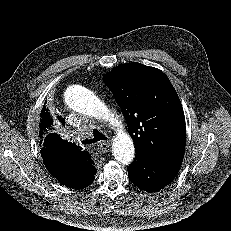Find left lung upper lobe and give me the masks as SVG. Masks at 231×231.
Segmentation results:
<instances>
[{
    "label": "left lung upper lobe",
    "mask_w": 231,
    "mask_h": 231,
    "mask_svg": "<svg viewBox=\"0 0 231 231\" xmlns=\"http://www.w3.org/2000/svg\"><path fill=\"white\" fill-rule=\"evenodd\" d=\"M103 80L121 107L136 154L182 161L185 118L168 77L157 68L128 63L115 67Z\"/></svg>",
    "instance_id": "left-lung-upper-lobe-1"
}]
</instances>
